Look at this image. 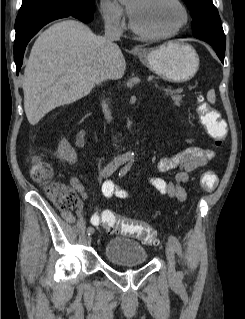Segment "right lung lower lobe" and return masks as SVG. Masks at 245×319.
I'll return each instance as SVG.
<instances>
[{"mask_svg":"<svg viewBox=\"0 0 245 319\" xmlns=\"http://www.w3.org/2000/svg\"><path fill=\"white\" fill-rule=\"evenodd\" d=\"M93 10L80 11L67 7H48L26 14H18L15 22L14 60L18 74L22 66L25 48L30 39L47 23L68 16H73L85 23L90 22Z\"/></svg>","mask_w":245,"mask_h":319,"instance_id":"1","label":"right lung lower lobe"}]
</instances>
